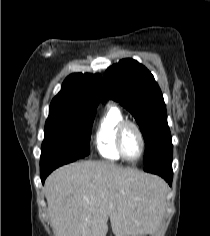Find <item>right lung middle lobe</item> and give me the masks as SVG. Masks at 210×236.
Returning a JSON list of instances; mask_svg holds the SVG:
<instances>
[{
	"mask_svg": "<svg viewBox=\"0 0 210 236\" xmlns=\"http://www.w3.org/2000/svg\"><path fill=\"white\" fill-rule=\"evenodd\" d=\"M95 111L50 107L41 159L56 156L76 160L87 156Z\"/></svg>",
	"mask_w": 210,
	"mask_h": 236,
	"instance_id": "right-lung-middle-lobe-1",
	"label": "right lung middle lobe"
}]
</instances>
